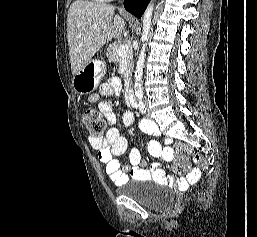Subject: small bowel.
<instances>
[{"instance_id": "c3829d8e", "label": "small bowel", "mask_w": 257, "mask_h": 237, "mask_svg": "<svg viewBox=\"0 0 257 237\" xmlns=\"http://www.w3.org/2000/svg\"><path fill=\"white\" fill-rule=\"evenodd\" d=\"M121 81L119 78H110L100 86L102 95L118 94L121 90ZM90 104L98 103L100 112L105 116L107 122L113 125L116 122V115L112 105L107 101H100V96L94 93L89 96ZM126 125H130L134 120L133 112L128 110L123 116ZM140 128L147 134H157L156 125L148 120L140 121ZM170 142V139H165ZM89 143L95 150L99 161L104 164L108 177L117 185L126 183L128 173L134 180L155 179L159 182L174 183L175 179L172 175L166 173L158 163H153L150 170L143 168V160L138 149H129V139L122 135L116 127H111L103 137H89ZM129 149V163L121 166L116 159L117 156L123 155ZM148 151L152 156H163L166 160L173 157V151L170 148H163L162 144L157 140H152L148 145ZM201 165L204 162L201 161ZM200 176V168H194L187 176L188 182H194Z\"/></svg>"}]
</instances>
